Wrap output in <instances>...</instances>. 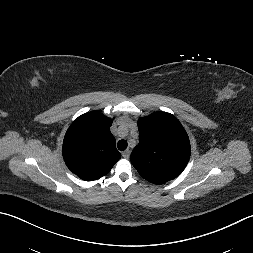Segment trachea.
I'll return each mask as SVG.
<instances>
[{
  "instance_id": "3493384b",
  "label": "trachea",
  "mask_w": 253,
  "mask_h": 253,
  "mask_svg": "<svg viewBox=\"0 0 253 253\" xmlns=\"http://www.w3.org/2000/svg\"><path fill=\"white\" fill-rule=\"evenodd\" d=\"M117 147L120 151H124L127 148V141L126 140H119L117 143Z\"/></svg>"
}]
</instances>
